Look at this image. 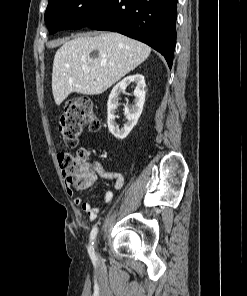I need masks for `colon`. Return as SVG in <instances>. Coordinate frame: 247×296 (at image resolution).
Returning a JSON list of instances; mask_svg holds the SVG:
<instances>
[{
	"label": "colon",
	"instance_id": "colon-1",
	"mask_svg": "<svg viewBox=\"0 0 247 296\" xmlns=\"http://www.w3.org/2000/svg\"><path fill=\"white\" fill-rule=\"evenodd\" d=\"M85 126L92 131L101 128V121L92 101L80 97L69 101L60 118L59 131L67 147L78 144ZM60 169L68 184L78 188L92 185L97 175L89 161V152L81 149L76 153L61 152L58 155Z\"/></svg>",
	"mask_w": 247,
	"mask_h": 296
}]
</instances>
